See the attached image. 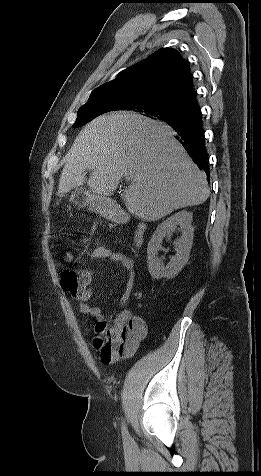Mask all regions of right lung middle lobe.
I'll list each match as a JSON object with an SVG mask.
<instances>
[{"instance_id":"1","label":"right lung middle lobe","mask_w":261,"mask_h":476,"mask_svg":"<svg viewBox=\"0 0 261 476\" xmlns=\"http://www.w3.org/2000/svg\"><path fill=\"white\" fill-rule=\"evenodd\" d=\"M117 103L118 101L115 100L113 97H107L97 99L92 102H87L79 109L77 113V119L73 127L82 126L101 114L120 110ZM184 111L185 110L165 104H147L142 106L138 110H135V112L147 115L149 117L157 118L164 122H169L171 120L178 119L180 116H182Z\"/></svg>"}]
</instances>
